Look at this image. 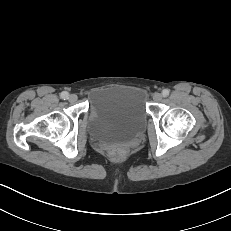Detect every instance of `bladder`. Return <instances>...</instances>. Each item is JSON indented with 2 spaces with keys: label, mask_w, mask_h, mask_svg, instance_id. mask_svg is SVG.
Returning a JSON list of instances; mask_svg holds the SVG:
<instances>
[{
  "label": "bladder",
  "mask_w": 231,
  "mask_h": 231,
  "mask_svg": "<svg viewBox=\"0 0 231 231\" xmlns=\"http://www.w3.org/2000/svg\"><path fill=\"white\" fill-rule=\"evenodd\" d=\"M89 132L100 142H128L139 137L148 112L145 93L137 87H110L89 99Z\"/></svg>",
  "instance_id": "obj_1"
}]
</instances>
